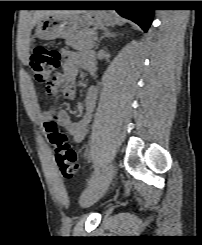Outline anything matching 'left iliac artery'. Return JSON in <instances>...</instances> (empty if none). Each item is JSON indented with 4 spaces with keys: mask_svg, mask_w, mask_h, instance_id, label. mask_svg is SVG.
Wrapping results in <instances>:
<instances>
[{
    "mask_svg": "<svg viewBox=\"0 0 202 245\" xmlns=\"http://www.w3.org/2000/svg\"><path fill=\"white\" fill-rule=\"evenodd\" d=\"M99 176H100V170H99V168L96 167L91 179L88 182V186L85 189V191L83 192L82 196H84L90 192V190L95 186Z\"/></svg>",
    "mask_w": 202,
    "mask_h": 245,
    "instance_id": "1",
    "label": "left iliac artery"
}]
</instances>
